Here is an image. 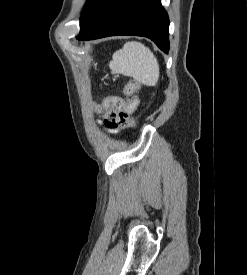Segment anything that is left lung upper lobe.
<instances>
[{
  "instance_id": "left-lung-upper-lobe-1",
  "label": "left lung upper lobe",
  "mask_w": 247,
  "mask_h": 275,
  "mask_svg": "<svg viewBox=\"0 0 247 275\" xmlns=\"http://www.w3.org/2000/svg\"><path fill=\"white\" fill-rule=\"evenodd\" d=\"M100 1L101 0H87L82 16L80 18V27L83 25L85 20L88 18V16L91 14L93 9L98 5Z\"/></svg>"
}]
</instances>
